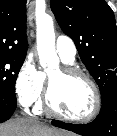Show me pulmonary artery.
<instances>
[{"label":"pulmonary artery","instance_id":"1","mask_svg":"<svg viewBox=\"0 0 117 136\" xmlns=\"http://www.w3.org/2000/svg\"><path fill=\"white\" fill-rule=\"evenodd\" d=\"M55 48L64 62L72 63L75 60L76 46L70 37L64 35L59 36L56 40Z\"/></svg>","mask_w":117,"mask_h":136}]
</instances>
